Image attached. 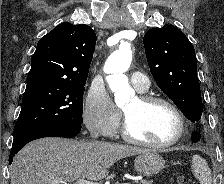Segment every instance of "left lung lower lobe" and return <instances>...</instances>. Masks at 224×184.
Here are the masks:
<instances>
[{
    "label": "left lung lower lobe",
    "instance_id": "1",
    "mask_svg": "<svg viewBox=\"0 0 224 184\" xmlns=\"http://www.w3.org/2000/svg\"><path fill=\"white\" fill-rule=\"evenodd\" d=\"M199 139H200V134H194V135L192 136V140H193L194 142L199 141Z\"/></svg>",
    "mask_w": 224,
    "mask_h": 184
}]
</instances>
